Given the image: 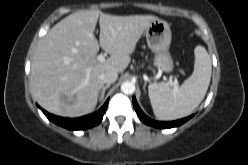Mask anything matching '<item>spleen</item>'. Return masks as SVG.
Here are the masks:
<instances>
[{"instance_id": "1", "label": "spleen", "mask_w": 248, "mask_h": 165, "mask_svg": "<svg viewBox=\"0 0 248 165\" xmlns=\"http://www.w3.org/2000/svg\"><path fill=\"white\" fill-rule=\"evenodd\" d=\"M195 63L192 75L175 89L164 83H152L148 94L154 115L159 120H175L190 115L202 102L210 84L212 65L206 49H194Z\"/></svg>"}]
</instances>
